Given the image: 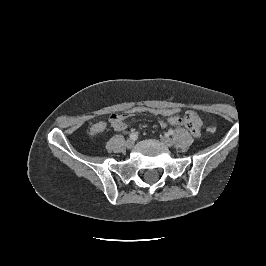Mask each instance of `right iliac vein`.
<instances>
[{
    "mask_svg": "<svg viewBox=\"0 0 266 266\" xmlns=\"http://www.w3.org/2000/svg\"><path fill=\"white\" fill-rule=\"evenodd\" d=\"M125 145H126V147L129 148V149L132 148V147L134 146V140H132V139H128V140L126 141Z\"/></svg>",
    "mask_w": 266,
    "mask_h": 266,
    "instance_id": "right-iliac-vein-1",
    "label": "right iliac vein"
}]
</instances>
